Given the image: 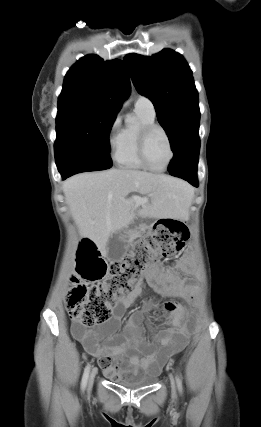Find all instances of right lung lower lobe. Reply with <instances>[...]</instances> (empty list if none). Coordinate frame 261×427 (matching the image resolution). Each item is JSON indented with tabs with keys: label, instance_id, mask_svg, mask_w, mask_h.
I'll return each mask as SVG.
<instances>
[{
	"label": "right lung lower lobe",
	"instance_id": "right-lung-lower-lobe-1",
	"mask_svg": "<svg viewBox=\"0 0 261 427\" xmlns=\"http://www.w3.org/2000/svg\"><path fill=\"white\" fill-rule=\"evenodd\" d=\"M108 168H88L83 166H67L62 169H59V172L62 175L63 180L66 178L80 172H86V171H98V170H104Z\"/></svg>",
	"mask_w": 261,
	"mask_h": 427
}]
</instances>
